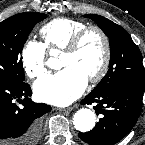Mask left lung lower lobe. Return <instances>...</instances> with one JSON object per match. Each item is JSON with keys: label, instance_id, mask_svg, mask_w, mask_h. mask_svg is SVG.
I'll list each match as a JSON object with an SVG mask.
<instances>
[{"label": "left lung lower lobe", "instance_id": "0a47b994", "mask_svg": "<svg viewBox=\"0 0 145 145\" xmlns=\"http://www.w3.org/2000/svg\"><path fill=\"white\" fill-rule=\"evenodd\" d=\"M143 91L131 86H117L100 94H88L82 104L97 103L96 113L103 114L93 130L79 133L90 145H114L124 138L137 122Z\"/></svg>", "mask_w": 145, "mask_h": 145}]
</instances>
